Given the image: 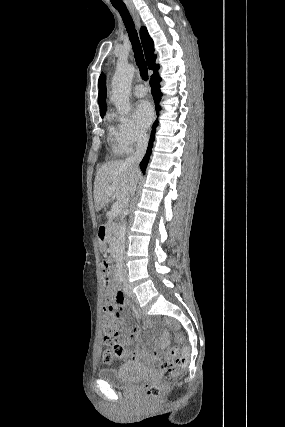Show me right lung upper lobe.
Wrapping results in <instances>:
<instances>
[{"label": "right lung upper lobe", "mask_w": 285, "mask_h": 427, "mask_svg": "<svg viewBox=\"0 0 285 427\" xmlns=\"http://www.w3.org/2000/svg\"><path fill=\"white\" fill-rule=\"evenodd\" d=\"M141 42L143 45L145 57L147 60L148 68L153 70V75L151 77L158 76L159 65L155 63L156 56L154 55V44L152 39L150 38L147 29L142 27L140 30ZM99 87V95H98V103L100 106V115L104 116L106 112V85H105V77L103 74L100 75L98 81Z\"/></svg>", "instance_id": "right-lung-upper-lobe-1"}]
</instances>
